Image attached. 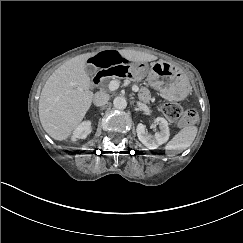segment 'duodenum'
<instances>
[{"mask_svg": "<svg viewBox=\"0 0 243 243\" xmlns=\"http://www.w3.org/2000/svg\"><path fill=\"white\" fill-rule=\"evenodd\" d=\"M135 71V67L131 64L118 65L109 69H104L93 77V84L98 85L105 78L128 79L134 75Z\"/></svg>", "mask_w": 243, "mask_h": 243, "instance_id": "1", "label": "duodenum"}]
</instances>
